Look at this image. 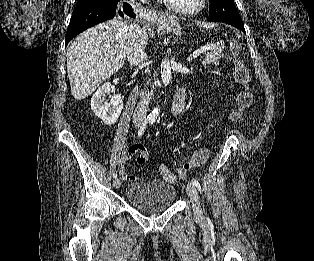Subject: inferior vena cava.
<instances>
[{
	"instance_id": "602c4592",
	"label": "inferior vena cava",
	"mask_w": 314,
	"mask_h": 261,
	"mask_svg": "<svg viewBox=\"0 0 314 261\" xmlns=\"http://www.w3.org/2000/svg\"><path fill=\"white\" fill-rule=\"evenodd\" d=\"M144 2L145 0H141ZM127 41H126V57L131 66H137L145 63L147 55L144 52V31L137 24L127 26ZM147 66V63H146ZM150 73L149 70H146ZM149 83V82H148ZM149 108V98L144 95V98L137 104L134 111V119H145Z\"/></svg>"
}]
</instances>
